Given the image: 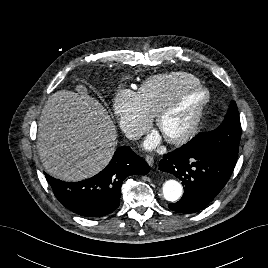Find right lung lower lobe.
<instances>
[{"mask_svg":"<svg viewBox=\"0 0 268 268\" xmlns=\"http://www.w3.org/2000/svg\"><path fill=\"white\" fill-rule=\"evenodd\" d=\"M149 166L128 146L119 147L105 169L80 182H63L44 173L58 201L85 217H102L118 208L121 185L130 175H145Z\"/></svg>","mask_w":268,"mask_h":268,"instance_id":"1","label":"right lung lower lobe"}]
</instances>
